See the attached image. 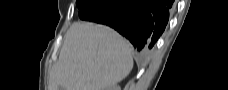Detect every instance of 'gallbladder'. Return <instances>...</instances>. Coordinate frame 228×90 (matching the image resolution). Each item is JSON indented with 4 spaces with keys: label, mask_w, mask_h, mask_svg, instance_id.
<instances>
[{
    "label": "gallbladder",
    "mask_w": 228,
    "mask_h": 90,
    "mask_svg": "<svg viewBox=\"0 0 228 90\" xmlns=\"http://www.w3.org/2000/svg\"><path fill=\"white\" fill-rule=\"evenodd\" d=\"M60 90H65L64 88H60Z\"/></svg>",
    "instance_id": "1"
}]
</instances>
